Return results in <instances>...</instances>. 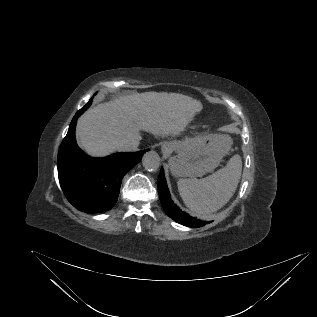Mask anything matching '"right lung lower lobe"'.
I'll return each mask as SVG.
<instances>
[{
  "label": "right lung lower lobe",
  "instance_id": "right-lung-lower-lobe-1",
  "mask_svg": "<svg viewBox=\"0 0 317 317\" xmlns=\"http://www.w3.org/2000/svg\"><path fill=\"white\" fill-rule=\"evenodd\" d=\"M79 110L74 116L58 152V177L68 201L86 213L105 212L117 202L123 176L142 158L146 150L116 153L106 158L86 155L75 139Z\"/></svg>",
  "mask_w": 317,
  "mask_h": 317
}]
</instances>
